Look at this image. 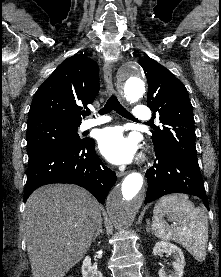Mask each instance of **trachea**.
<instances>
[{"label":"trachea","mask_w":221,"mask_h":277,"mask_svg":"<svg viewBox=\"0 0 221 277\" xmlns=\"http://www.w3.org/2000/svg\"><path fill=\"white\" fill-rule=\"evenodd\" d=\"M112 110L116 111V113H118L119 115L128 118V119H132V120H136L132 114H130L118 101L117 97L112 95L109 97V99L107 100L105 106L99 111L100 115L103 114H107L109 112H111ZM85 115H90L91 112L90 111H86L84 112Z\"/></svg>","instance_id":"3493384b"}]
</instances>
